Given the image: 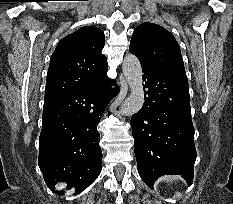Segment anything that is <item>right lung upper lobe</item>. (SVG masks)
Here are the masks:
<instances>
[{
  "label": "right lung upper lobe",
  "instance_id": "cb5924a9",
  "mask_svg": "<svg viewBox=\"0 0 233 204\" xmlns=\"http://www.w3.org/2000/svg\"><path fill=\"white\" fill-rule=\"evenodd\" d=\"M103 31L85 26L64 37L50 59L44 102L91 84L104 72L107 58Z\"/></svg>",
  "mask_w": 233,
  "mask_h": 204
}]
</instances>
